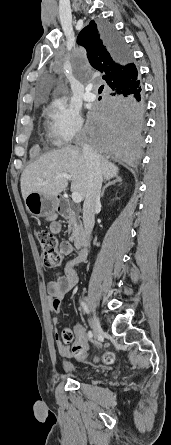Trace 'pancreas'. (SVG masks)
<instances>
[{
  "label": "pancreas",
  "mask_w": 171,
  "mask_h": 445,
  "mask_svg": "<svg viewBox=\"0 0 171 445\" xmlns=\"http://www.w3.org/2000/svg\"><path fill=\"white\" fill-rule=\"evenodd\" d=\"M68 219V234L71 241L78 240L82 233V223L78 215L73 210L69 209Z\"/></svg>",
  "instance_id": "pancreas-1"
}]
</instances>
